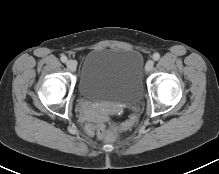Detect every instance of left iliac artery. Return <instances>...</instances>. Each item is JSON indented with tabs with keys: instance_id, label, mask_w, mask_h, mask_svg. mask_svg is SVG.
<instances>
[{
	"instance_id": "obj_1",
	"label": "left iliac artery",
	"mask_w": 219,
	"mask_h": 174,
	"mask_svg": "<svg viewBox=\"0 0 219 174\" xmlns=\"http://www.w3.org/2000/svg\"><path fill=\"white\" fill-rule=\"evenodd\" d=\"M153 59H154L155 61L159 60V59H160V54H159V53H154V54H153Z\"/></svg>"
}]
</instances>
